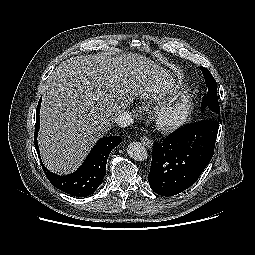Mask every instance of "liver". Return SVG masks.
<instances>
[{"label": "liver", "mask_w": 255, "mask_h": 255, "mask_svg": "<svg viewBox=\"0 0 255 255\" xmlns=\"http://www.w3.org/2000/svg\"><path fill=\"white\" fill-rule=\"evenodd\" d=\"M173 86L166 70L131 54L79 55L63 61L43 88L39 146L52 172L75 170L111 122L138 95Z\"/></svg>", "instance_id": "6515ba94"}]
</instances>
